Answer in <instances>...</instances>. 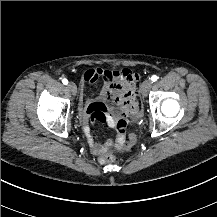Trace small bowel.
Listing matches in <instances>:
<instances>
[{
	"label": "small bowel",
	"instance_id": "obj_1",
	"mask_svg": "<svg viewBox=\"0 0 217 217\" xmlns=\"http://www.w3.org/2000/svg\"><path fill=\"white\" fill-rule=\"evenodd\" d=\"M96 80L105 82L96 98H85L83 86L81 87L78 117L91 154L102 156L110 150L111 142H97L91 133L90 123L97 121L107 124L116 133L117 145L124 142L127 117H138L141 113L140 93L137 89L139 76L129 68L112 71L109 67L92 68L83 76L86 84H92ZM105 102L111 105L110 112H107Z\"/></svg>",
	"mask_w": 217,
	"mask_h": 217
}]
</instances>
